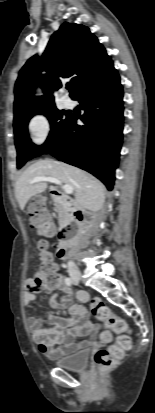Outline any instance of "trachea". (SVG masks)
Masks as SVG:
<instances>
[{
  "instance_id": "3493384b",
  "label": "trachea",
  "mask_w": 155,
  "mask_h": 413,
  "mask_svg": "<svg viewBox=\"0 0 155 413\" xmlns=\"http://www.w3.org/2000/svg\"><path fill=\"white\" fill-rule=\"evenodd\" d=\"M67 89H71V85H70V84L67 85Z\"/></svg>"
}]
</instances>
